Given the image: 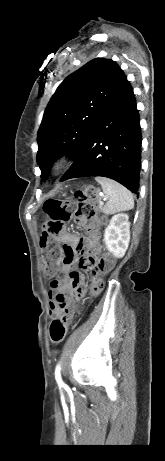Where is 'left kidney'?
Returning <instances> with one entry per match:
<instances>
[{
    "instance_id": "left-kidney-1",
    "label": "left kidney",
    "mask_w": 165,
    "mask_h": 461,
    "mask_svg": "<svg viewBox=\"0 0 165 461\" xmlns=\"http://www.w3.org/2000/svg\"><path fill=\"white\" fill-rule=\"evenodd\" d=\"M104 241L109 252L115 257L124 256L130 241V222L126 213L114 215L105 229Z\"/></svg>"
}]
</instances>
